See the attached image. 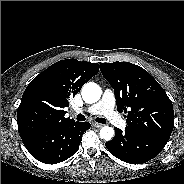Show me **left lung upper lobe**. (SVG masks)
<instances>
[{
	"label": "left lung upper lobe",
	"instance_id": "obj_1",
	"mask_svg": "<svg viewBox=\"0 0 184 184\" xmlns=\"http://www.w3.org/2000/svg\"><path fill=\"white\" fill-rule=\"evenodd\" d=\"M100 70L114 89L117 111L128 128L165 146L174 128L173 105L165 90L143 68L129 62L101 63Z\"/></svg>",
	"mask_w": 184,
	"mask_h": 184
}]
</instances>
